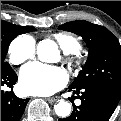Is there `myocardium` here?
<instances>
[{"mask_svg":"<svg viewBox=\"0 0 121 121\" xmlns=\"http://www.w3.org/2000/svg\"><path fill=\"white\" fill-rule=\"evenodd\" d=\"M68 63L72 64L73 61H74V58L73 57H69L66 59Z\"/></svg>","mask_w":121,"mask_h":121,"instance_id":"obj_1","label":"myocardium"}]
</instances>
